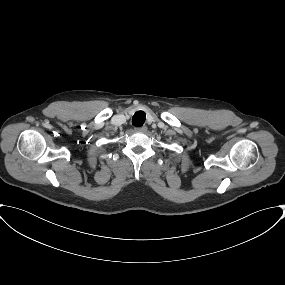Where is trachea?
<instances>
[{
	"mask_svg": "<svg viewBox=\"0 0 285 285\" xmlns=\"http://www.w3.org/2000/svg\"><path fill=\"white\" fill-rule=\"evenodd\" d=\"M146 119V114L144 111H137L132 118V124L136 127H141Z\"/></svg>",
	"mask_w": 285,
	"mask_h": 285,
	"instance_id": "obj_1",
	"label": "trachea"
}]
</instances>
